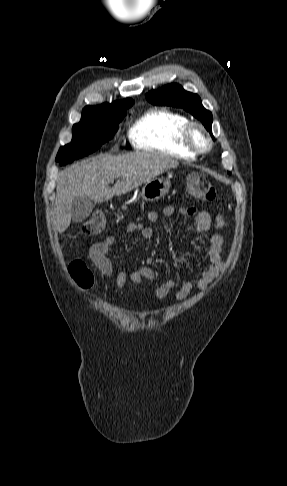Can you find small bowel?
I'll return each mask as SVG.
<instances>
[{
    "instance_id": "small-bowel-1",
    "label": "small bowel",
    "mask_w": 287,
    "mask_h": 486,
    "mask_svg": "<svg viewBox=\"0 0 287 486\" xmlns=\"http://www.w3.org/2000/svg\"><path fill=\"white\" fill-rule=\"evenodd\" d=\"M182 216L190 219L191 224L186 225L183 220H179L181 228L185 229L188 234H202L207 233L212 224L210 214L196 207L178 208L167 206L160 211L152 210L147 217L150 222H156L162 217ZM216 227L219 230L224 229L225 221L222 216L216 217ZM127 232L130 234L139 233L143 240H149L154 236V230L150 226H145L140 222H132L127 225ZM114 236H107L103 240L94 243L89 249V259L94 266L105 276L110 277L113 273V266L108 257L113 245L115 244ZM208 247L203 255L207 261L205 270L199 271L196 280L184 282L175 292L177 300L186 299L194 288L202 291L205 290L224 270V261L222 250L224 239L220 234L212 233L208 236ZM155 272L152 268L141 267L132 273H128L126 269H121L116 277V287L122 289L128 280L136 285L142 284L145 280H153ZM177 287V281L169 278L161 283L154 291V296L157 299H163Z\"/></svg>"
}]
</instances>
